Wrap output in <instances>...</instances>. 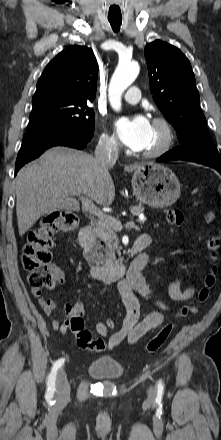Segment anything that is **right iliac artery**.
Returning a JSON list of instances; mask_svg holds the SVG:
<instances>
[{"instance_id": "right-iliac-artery-1", "label": "right iliac artery", "mask_w": 221, "mask_h": 440, "mask_svg": "<svg viewBox=\"0 0 221 440\" xmlns=\"http://www.w3.org/2000/svg\"><path fill=\"white\" fill-rule=\"evenodd\" d=\"M63 363H64V359L61 358V359L57 360L52 367V370H51V373L49 374L48 382H47V385H48L47 396L48 397H53V394L56 390V388H55L56 374H57L58 369L63 365Z\"/></svg>"}]
</instances>
